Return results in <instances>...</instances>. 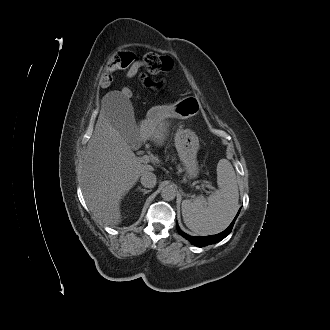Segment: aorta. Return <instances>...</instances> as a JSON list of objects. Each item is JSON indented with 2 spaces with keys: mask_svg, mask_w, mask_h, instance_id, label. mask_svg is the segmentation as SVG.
<instances>
[{
  "mask_svg": "<svg viewBox=\"0 0 330 330\" xmlns=\"http://www.w3.org/2000/svg\"><path fill=\"white\" fill-rule=\"evenodd\" d=\"M161 197L166 201H172L176 197V189L172 185H166L161 190Z\"/></svg>",
  "mask_w": 330,
  "mask_h": 330,
  "instance_id": "obj_1",
  "label": "aorta"
}]
</instances>
